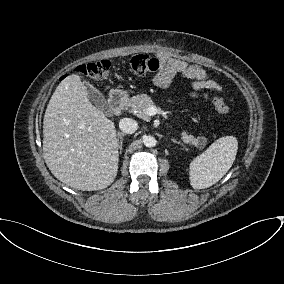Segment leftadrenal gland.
<instances>
[{
  "label": "left adrenal gland",
  "instance_id": "left-adrenal-gland-1",
  "mask_svg": "<svg viewBox=\"0 0 284 284\" xmlns=\"http://www.w3.org/2000/svg\"><path fill=\"white\" fill-rule=\"evenodd\" d=\"M171 141H172L173 143H177V144H180V145H182V146H183V143H181V142L177 141L176 139H171Z\"/></svg>",
  "mask_w": 284,
  "mask_h": 284
}]
</instances>
